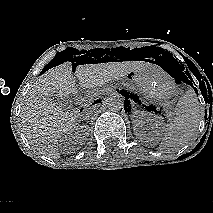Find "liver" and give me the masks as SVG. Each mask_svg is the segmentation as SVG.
<instances>
[{
  "label": "liver",
  "mask_w": 213,
  "mask_h": 213,
  "mask_svg": "<svg viewBox=\"0 0 213 213\" xmlns=\"http://www.w3.org/2000/svg\"><path fill=\"white\" fill-rule=\"evenodd\" d=\"M147 65L136 61L84 64L76 67L75 75L81 87L89 89ZM75 90L72 63L64 62L39 76L25 96L21 110L22 129L32 147L49 158L60 157L57 141L72 130L78 118L75 113L64 112L52 97L64 99Z\"/></svg>",
  "instance_id": "1"
}]
</instances>
